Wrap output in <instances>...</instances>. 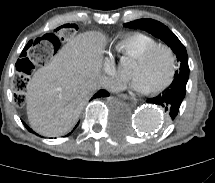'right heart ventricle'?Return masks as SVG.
Instances as JSON below:
<instances>
[{"mask_svg":"<svg viewBox=\"0 0 215 183\" xmlns=\"http://www.w3.org/2000/svg\"><path fill=\"white\" fill-rule=\"evenodd\" d=\"M158 44V40L153 36L135 31L124 35L117 43L116 49L125 56L136 58L140 53Z\"/></svg>","mask_w":215,"mask_h":183,"instance_id":"right-heart-ventricle-1","label":"right heart ventricle"}]
</instances>
